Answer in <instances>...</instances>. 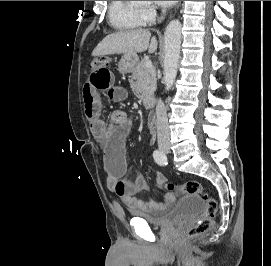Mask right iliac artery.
I'll return each instance as SVG.
<instances>
[{"label": "right iliac artery", "mask_w": 271, "mask_h": 266, "mask_svg": "<svg viewBox=\"0 0 271 266\" xmlns=\"http://www.w3.org/2000/svg\"><path fill=\"white\" fill-rule=\"evenodd\" d=\"M153 157L157 164L161 166L167 165V157L163 151L155 150L153 153Z\"/></svg>", "instance_id": "82829eb1"}]
</instances>
